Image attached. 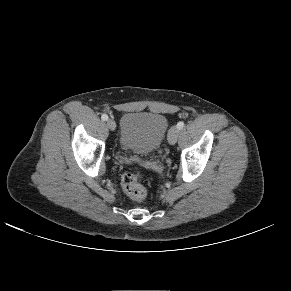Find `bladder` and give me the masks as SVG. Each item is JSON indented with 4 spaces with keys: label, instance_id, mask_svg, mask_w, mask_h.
Wrapping results in <instances>:
<instances>
[{
    "label": "bladder",
    "instance_id": "1",
    "mask_svg": "<svg viewBox=\"0 0 291 291\" xmlns=\"http://www.w3.org/2000/svg\"><path fill=\"white\" fill-rule=\"evenodd\" d=\"M167 129L168 121L162 114L128 112L121 118L119 144L127 151L149 155L160 147Z\"/></svg>",
    "mask_w": 291,
    "mask_h": 291
}]
</instances>
